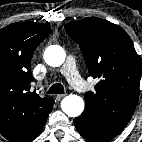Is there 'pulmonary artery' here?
<instances>
[{
    "mask_svg": "<svg viewBox=\"0 0 142 142\" xmlns=\"http://www.w3.org/2000/svg\"><path fill=\"white\" fill-rule=\"evenodd\" d=\"M60 72L66 77L70 85L78 91L86 90L87 86L84 80L81 78L77 67L74 56L70 55L67 57L64 65Z\"/></svg>",
    "mask_w": 142,
    "mask_h": 142,
    "instance_id": "1",
    "label": "pulmonary artery"
}]
</instances>
